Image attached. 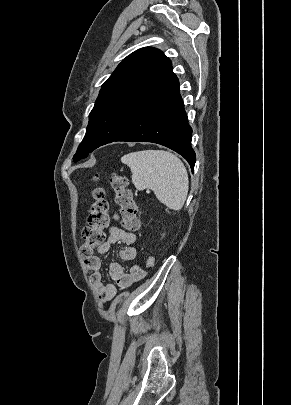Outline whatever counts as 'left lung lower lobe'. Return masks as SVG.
<instances>
[{"mask_svg": "<svg viewBox=\"0 0 291 405\" xmlns=\"http://www.w3.org/2000/svg\"><path fill=\"white\" fill-rule=\"evenodd\" d=\"M191 134L179 81L171 66L143 97L129 126L115 141L166 146L183 156L194 169L196 155L190 144Z\"/></svg>", "mask_w": 291, "mask_h": 405, "instance_id": "0a47b994", "label": "left lung lower lobe"}]
</instances>
